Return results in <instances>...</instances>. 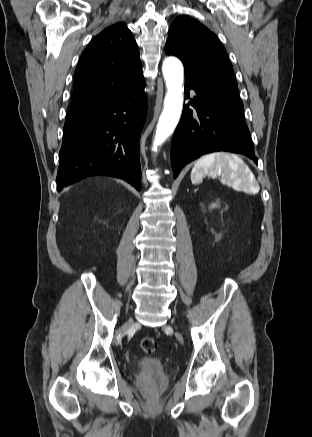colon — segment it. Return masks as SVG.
I'll list each match as a JSON object with an SVG mask.
<instances>
[{
	"label": "colon",
	"mask_w": 312,
	"mask_h": 437,
	"mask_svg": "<svg viewBox=\"0 0 312 437\" xmlns=\"http://www.w3.org/2000/svg\"><path fill=\"white\" fill-rule=\"evenodd\" d=\"M141 348L145 353H154L157 349L156 341L151 337H145L140 342Z\"/></svg>",
	"instance_id": "5ec220e1"
}]
</instances>
